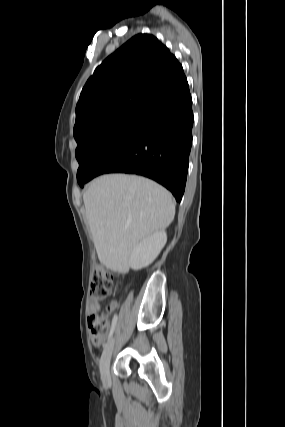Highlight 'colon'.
Returning <instances> with one entry per match:
<instances>
[{"label":"colon","mask_w":285,"mask_h":427,"mask_svg":"<svg viewBox=\"0 0 285 427\" xmlns=\"http://www.w3.org/2000/svg\"><path fill=\"white\" fill-rule=\"evenodd\" d=\"M114 275L106 269L99 267L92 275L90 285V297L92 300L102 302L106 300L114 290ZM88 327L91 339L95 344H99L105 337L109 321L105 314L92 313L88 318Z\"/></svg>","instance_id":"1"}]
</instances>
